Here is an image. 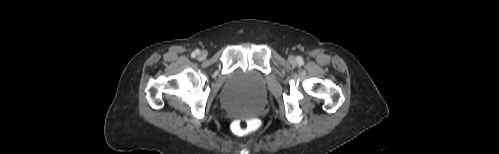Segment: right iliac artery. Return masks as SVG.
<instances>
[{
	"label": "right iliac artery",
	"instance_id": "obj_1",
	"mask_svg": "<svg viewBox=\"0 0 499 154\" xmlns=\"http://www.w3.org/2000/svg\"><path fill=\"white\" fill-rule=\"evenodd\" d=\"M198 53H199V50H195V51L192 53V57H195Z\"/></svg>",
	"mask_w": 499,
	"mask_h": 154
}]
</instances>
